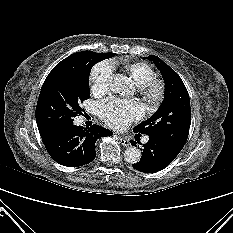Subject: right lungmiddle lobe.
Listing matches in <instances>:
<instances>
[{
	"mask_svg": "<svg viewBox=\"0 0 233 233\" xmlns=\"http://www.w3.org/2000/svg\"><path fill=\"white\" fill-rule=\"evenodd\" d=\"M115 53L81 51L66 62L61 61L48 74L41 88L36 122L40 135L64 131L74 117L82 114L81 103L89 99V74L99 61L113 57Z\"/></svg>",
	"mask_w": 233,
	"mask_h": 233,
	"instance_id": "right-lung-middle-lobe-1",
	"label": "right lung middle lobe"
}]
</instances>
